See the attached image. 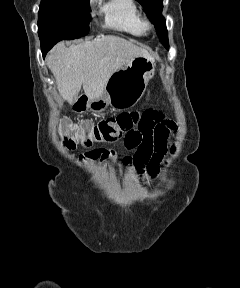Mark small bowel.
<instances>
[{
	"instance_id": "small-bowel-1",
	"label": "small bowel",
	"mask_w": 240,
	"mask_h": 288,
	"mask_svg": "<svg viewBox=\"0 0 240 288\" xmlns=\"http://www.w3.org/2000/svg\"><path fill=\"white\" fill-rule=\"evenodd\" d=\"M176 131V124L169 120L164 113L148 109L141 114L139 126L129 133L124 143L128 149H135L131 157L123 160L125 166H133L139 173L144 169L154 176L168 152V137ZM114 159V152L110 149H94L80 157L81 163L93 161L107 162Z\"/></svg>"
}]
</instances>
